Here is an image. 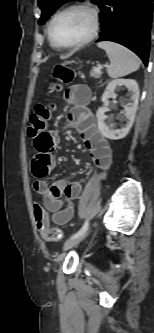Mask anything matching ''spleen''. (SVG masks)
I'll return each mask as SVG.
<instances>
[{"mask_svg":"<svg viewBox=\"0 0 154 333\" xmlns=\"http://www.w3.org/2000/svg\"><path fill=\"white\" fill-rule=\"evenodd\" d=\"M97 46L106 51L110 60L107 68L109 77H123L139 69L140 59L126 47L108 41L99 42Z\"/></svg>","mask_w":154,"mask_h":333,"instance_id":"spleen-1","label":"spleen"}]
</instances>
